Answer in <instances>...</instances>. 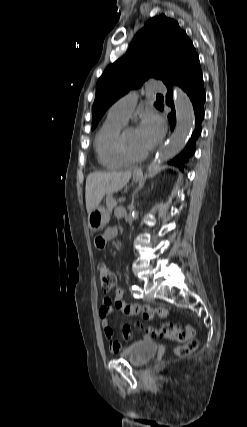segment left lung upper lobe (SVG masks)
Returning a JSON list of instances; mask_svg holds the SVG:
<instances>
[{"instance_id": "left-lung-upper-lobe-1", "label": "left lung upper lobe", "mask_w": 247, "mask_h": 427, "mask_svg": "<svg viewBox=\"0 0 247 427\" xmlns=\"http://www.w3.org/2000/svg\"><path fill=\"white\" fill-rule=\"evenodd\" d=\"M198 54L178 23L165 15L151 18L133 39L127 53L109 65L96 85L92 129L105 111L131 88L149 78L174 80ZM159 108L160 104L155 103Z\"/></svg>"}]
</instances>
